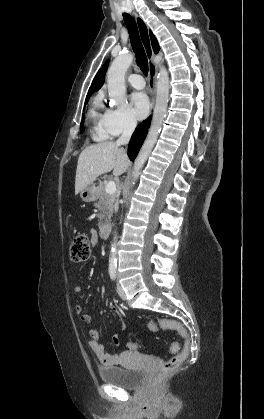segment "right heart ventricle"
<instances>
[{
  "label": "right heart ventricle",
  "instance_id": "1",
  "mask_svg": "<svg viewBox=\"0 0 264 419\" xmlns=\"http://www.w3.org/2000/svg\"><path fill=\"white\" fill-rule=\"evenodd\" d=\"M107 108L101 93L96 94L91 102L88 111L90 121V136L95 141H103L109 138V133L105 124Z\"/></svg>",
  "mask_w": 264,
  "mask_h": 419
}]
</instances>
